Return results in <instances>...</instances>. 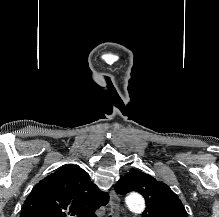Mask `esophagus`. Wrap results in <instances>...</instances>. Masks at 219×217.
Returning <instances> with one entry per match:
<instances>
[{"label": "esophagus", "instance_id": "1", "mask_svg": "<svg viewBox=\"0 0 219 217\" xmlns=\"http://www.w3.org/2000/svg\"><path fill=\"white\" fill-rule=\"evenodd\" d=\"M109 206L113 217H118L120 210V198L114 190H111L110 192Z\"/></svg>", "mask_w": 219, "mask_h": 217}]
</instances>
